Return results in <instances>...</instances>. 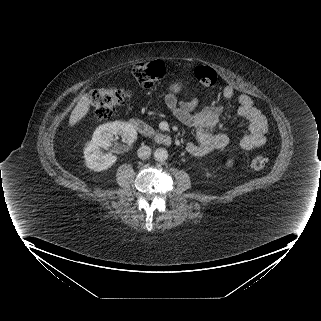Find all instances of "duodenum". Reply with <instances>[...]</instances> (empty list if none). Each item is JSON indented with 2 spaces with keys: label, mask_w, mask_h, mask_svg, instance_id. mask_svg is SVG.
I'll return each mask as SVG.
<instances>
[{
  "label": "duodenum",
  "mask_w": 321,
  "mask_h": 321,
  "mask_svg": "<svg viewBox=\"0 0 321 321\" xmlns=\"http://www.w3.org/2000/svg\"><path fill=\"white\" fill-rule=\"evenodd\" d=\"M132 127L138 131L142 136L150 138L154 142L164 145L170 146L172 143V139L168 134L161 133L155 131L150 125H148L144 120L140 118H133L130 121Z\"/></svg>",
  "instance_id": "410a0bca"
}]
</instances>
